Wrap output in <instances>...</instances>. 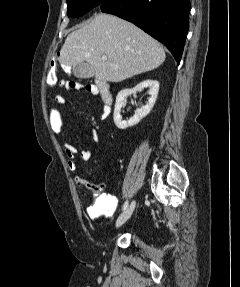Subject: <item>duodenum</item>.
Wrapping results in <instances>:
<instances>
[{"label":"duodenum","mask_w":240,"mask_h":287,"mask_svg":"<svg viewBox=\"0 0 240 287\" xmlns=\"http://www.w3.org/2000/svg\"><path fill=\"white\" fill-rule=\"evenodd\" d=\"M97 89L100 92V95L107 106L112 104V93H111V85L108 81H99L97 83Z\"/></svg>","instance_id":"410a0bca"}]
</instances>
